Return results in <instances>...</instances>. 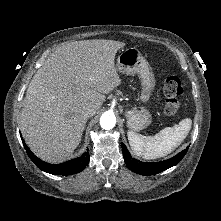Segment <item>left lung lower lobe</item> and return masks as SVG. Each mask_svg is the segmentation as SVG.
I'll list each match as a JSON object with an SVG mask.
<instances>
[{
	"label": "left lung lower lobe",
	"mask_w": 221,
	"mask_h": 221,
	"mask_svg": "<svg viewBox=\"0 0 221 221\" xmlns=\"http://www.w3.org/2000/svg\"><path fill=\"white\" fill-rule=\"evenodd\" d=\"M187 150H188V147L184 149L183 151H181L180 153H178L176 156L168 160H164L160 162H141L139 160L132 158L126 146L122 143V153H123L124 161L127 167L131 171L140 175H144V176L155 175L160 172H163L164 170L172 166H175L182 160Z\"/></svg>",
	"instance_id": "1"
}]
</instances>
